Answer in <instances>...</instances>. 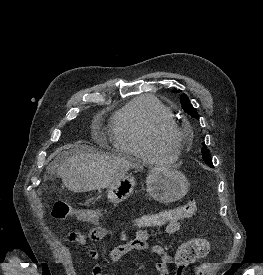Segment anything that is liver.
<instances>
[{"label":"liver","instance_id":"1","mask_svg":"<svg viewBox=\"0 0 263 275\" xmlns=\"http://www.w3.org/2000/svg\"><path fill=\"white\" fill-rule=\"evenodd\" d=\"M135 167L125 158L88 151L68 156L57 173L69 191L79 193L107 188Z\"/></svg>","mask_w":263,"mask_h":275}]
</instances>
